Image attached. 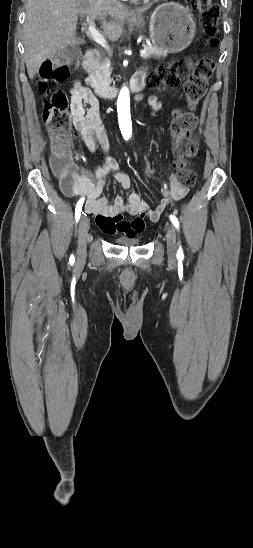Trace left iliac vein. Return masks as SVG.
<instances>
[{
	"label": "left iliac vein",
	"mask_w": 253,
	"mask_h": 548,
	"mask_svg": "<svg viewBox=\"0 0 253 548\" xmlns=\"http://www.w3.org/2000/svg\"><path fill=\"white\" fill-rule=\"evenodd\" d=\"M166 242H167V254L170 259H175L176 257V233L172 225H168L166 232Z\"/></svg>",
	"instance_id": "4c4485c4"
}]
</instances>
